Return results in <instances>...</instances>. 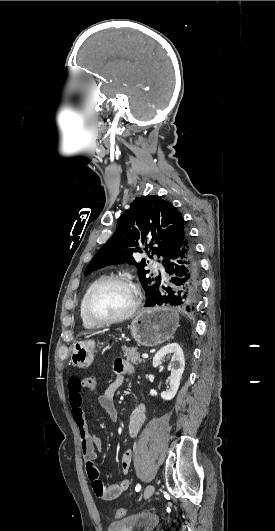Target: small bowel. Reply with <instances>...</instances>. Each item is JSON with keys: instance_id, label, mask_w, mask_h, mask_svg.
<instances>
[{"instance_id": "c3829d8e", "label": "small bowel", "mask_w": 275, "mask_h": 531, "mask_svg": "<svg viewBox=\"0 0 275 531\" xmlns=\"http://www.w3.org/2000/svg\"><path fill=\"white\" fill-rule=\"evenodd\" d=\"M113 369L116 377L98 397L97 402L112 421H117L118 411L114 404V397L124 385L125 377L135 373V367L132 363L123 358H116L113 362ZM67 379L69 383L66 390L69 394L68 400L71 407V416L78 429L81 453L86 462L87 477L90 480L92 490L99 499L103 501H112L129 489L130 480L124 478L117 484L107 486L99 478V471L95 461L98 452L102 448V441L98 436L93 435L90 432L86 423L81 395H76L80 394L82 390L80 385L82 378L79 373H70ZM145 419L146 406L144 404H139L132 412L129 420L128 431L131 437H136L139 434ZM132 459L133 451L131 449L123 451L120 458V468L124 474L129 473Z\"/></svg>"}]
</instances>
